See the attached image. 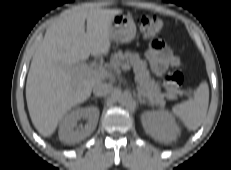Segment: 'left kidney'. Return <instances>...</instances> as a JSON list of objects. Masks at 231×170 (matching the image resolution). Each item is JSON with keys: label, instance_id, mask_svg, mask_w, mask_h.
Segmentation results:
<instances>
[{"label": "left kidney", "instance_id": "1", "mask_svg": "<svg viewBox=\"0 0 231 170\" xmlns=\"http://www.w3.org/2000/svg\"><path fill=\"white\" fill-rule=\"evenodd\" d=\"M141 122L147 134L163 143L176 140L181 132L174 117L166 110L144 112Z\"/></svg>", "mask_w": 231, "mask_h": 170}]
</instances>
